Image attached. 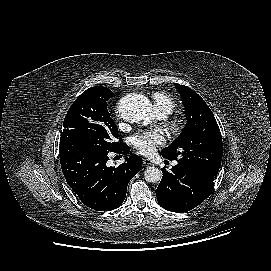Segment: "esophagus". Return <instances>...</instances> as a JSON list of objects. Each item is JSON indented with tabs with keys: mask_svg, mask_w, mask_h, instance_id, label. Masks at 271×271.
<instances>
[{
	"mask_svg": "<svg viewBox=\"0 0 271 271\" xmlns=\"http://www.w3.org/2000/svg\"><path fill=\"white\" fill-rule=\"evenodd\" d=\"M143 164L145 166H151V165H153L152 162L149 159H146V158L143 159Z\"/></svg>",
	"mask_w": 271,
	"mask_h": 271,
	"instance_id": "obj_1",
	"label": "esophagus"
}]
</instances>
